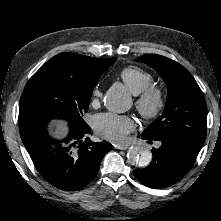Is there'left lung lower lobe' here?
<instances>
[{"label": "left lung lower lobe", "instance_id": "1", "mask_svg": "<svg viewBox=\"0 0 221 221\" xmlns=\"http://www.w3.org/2000/svg\"><path fill=\"white\" fill-rule=\"evenodd\" d=\"M151 143L152 139L142 135ZM158 149L153 148L149 166L134 170V176L145 186L159 189L180 181L192 168L199 149L178 140L162 139Z\"/></svg>", "mask_w": 221, "mask_h": 221}]
</instances>
